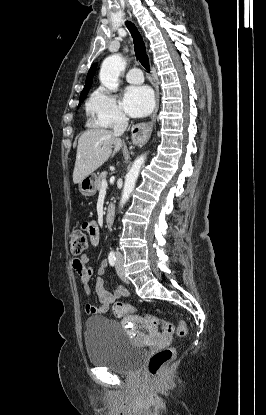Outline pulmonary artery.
Instances as JSON below:
<instances>
[{"label": "pulmonary artery", "mask_w": 266, "mask_h": 415, "mask_svg": "<svg viewBox=\"0 0 266 415\" xmlns=\"http://www.w3.org/2000/svg\"><path fill=\"white\" fill-rule=\"evenodd\" d=\"M126 79L131 84H141L143 82V73L139 68H131L126 74Z\"/></svg>", "instance_id": "obj_1"}]
</instances>
